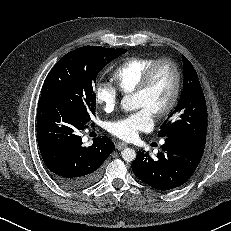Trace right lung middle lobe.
Segmentation results:
<instances>
[{"mask_svg":"<svg viewBox=\"0 0 231 231\" xmlns=\"http://www.w3.org/2000/svg\"><path fill=\"white\" fill-rule=\"evenodd\" d=\"M126 49L84 46L64 55L51 69L42 86V98H53L88 124L95 115V83L98 73Z\"/></svg>","mask_w":231,"mask_h":231,"instance_id":"dd1d6c3e","label":"right lung middle lobe"}]
</instances>
